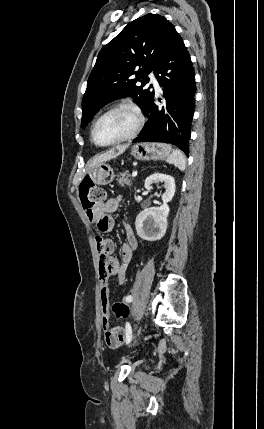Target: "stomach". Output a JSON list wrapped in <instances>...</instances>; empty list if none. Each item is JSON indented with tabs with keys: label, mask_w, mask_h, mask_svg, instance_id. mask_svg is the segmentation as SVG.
<instances>
[{
	"label": "stomach",
	"mask_w": 264,
	"mask_h": 429,
	"mask_svg": "<svg viewBox=\"0 0 264 429\" xmlns=\"http://www.w3.org/2000/svg\"><path fill=\"white\" fill-rule=\"evenodd\" d=\"M171 146L166 143L145 142L137 143L131 148V155L142 161L161 160L170 155ZM90 179L98 185L110 183L114 178L113 169L107 163L97 164L89 169Z\"/></svg>",
	"instance_id": "1"
}]
</instances>
